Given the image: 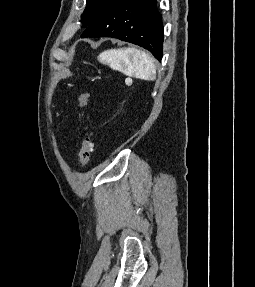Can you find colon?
I'll return each mask as SVG.
<instances>
[{
    "label": "colon",
    "instance_id": "1",
    "mask_svg": "<svg viewBox=\"0 0 255 287\" xmlns=\"http://www.w3.org/2000/svg\"><path fill=\"white\" fill-rule=\"evenodd\" d=\"M90 94L88 92L82 93L79 96V105L85 110L89 103ZM91 134L88 131H85L81 137L80 150H79V162L81 167L85 168L90 162L91 153H92V141L90 138Z\"/></svg>",
    "mask_w": 255,
    "mask_h": 287
}]
</instances>
